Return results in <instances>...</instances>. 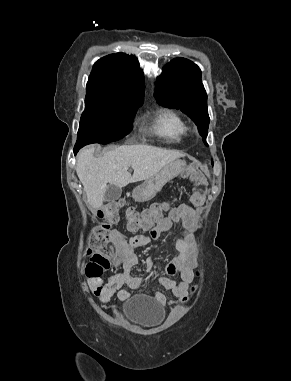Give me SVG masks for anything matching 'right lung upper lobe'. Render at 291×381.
Segmentation results:
<instances>
[{"label": "right lung upper lobe", "instance_id": "cb5924a9", "mask_svg": "<svg viewBox=\"0 0 291 381\" xmlns=\"http://www.w3.org/2000/svg\"><path fill=\"white\" fill-rule=\"evenodd\" d=\"M135 56L110 54L93 66L87 83V95L133 104L143 103L144 78Z\"/></svg>", "mask_w": 291, "mask_h": 381}]
</instances>
